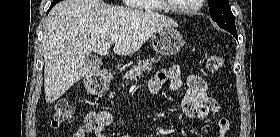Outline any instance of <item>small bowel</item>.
I'll return each instance as SVG.
<instances>
[{
  "label": "small bowel",
  "mask_w": 280,
  "mask_h": 137,
  "mask_svg": "<svg viewBox=\"0 0 280 137\" xmlns=\"http://www.w3.org/2000/svg\"><path fill=\"white\" fill-rule=\"evenodd\" d=\"M169 82L170 91H176L182 86L186 87L182 100V110L188 118H196L207 121L210 117L218 116V126L229 124V119L221 113V106L207 94L206 80L197 74L182 76L179 65L174 64L169 68L161 69L149 83V90L158 93L165 83ZM94 119V123L90 121ZM113 115L110 112L91 113L85 119V124L77 129L73 137H87L93 134L95 137H104V129L112 122Z\"/></svg>",
  "instance_id": "obj_1"
}]
</instances>
